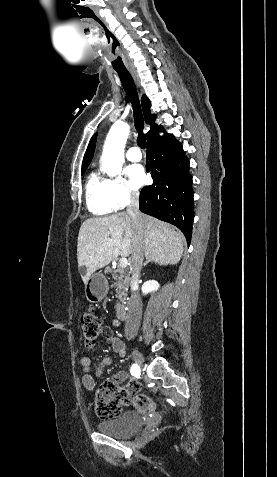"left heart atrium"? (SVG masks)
I'll use <instances>...</instances> for the list:
<instances>
[{
    "mask_svg": "<svg viewBox=\"0 0 277 477\" xmlns=\"http://www.w3.org/2000/svg\"><path fill=\"white\" fill-rule=\"evenodd\" d=\"M127 174L135 187H140L146 180L144 169L141 165H131L127 169Z\"/></svg>",
    "mask_w": 277,
    "mask_h": 477,
    "instance_id": "left-heart-atrium-1",
    "label": "left heart atrium"
}]
</instances>
